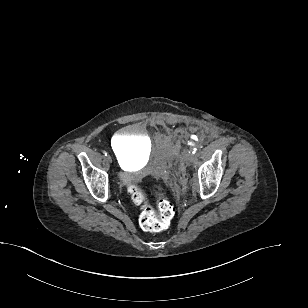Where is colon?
<instances>
[{
    "label": "colon",
    "instance_id": "5ec220e1",
    "mask_svg": "<svg viewBox=\"0 0 308 308\" xmlns=\"http://www.w3.org/2000/svg\"><path fill=\"white\" fill-rule=\"evenodd\" d=\"M133 202L140 207L139 224L142 229L150 232L164 230L170 224L175 210L161 187L140 183L128 188ZM156 196L157 207L149 204L152 195Z\"/></svg>",
    "mask_w": 308,
    "mask_h": 308
}]
</instances>
